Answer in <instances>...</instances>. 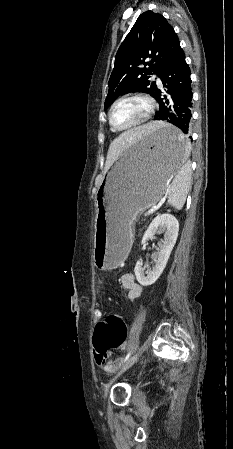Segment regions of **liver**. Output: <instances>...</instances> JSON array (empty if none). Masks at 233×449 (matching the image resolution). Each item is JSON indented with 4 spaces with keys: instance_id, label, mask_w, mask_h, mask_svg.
<instances>
[{
    "instance_id": "6515ba94",
    "label": "liver",
    "mask_w": 233,
    "mask_h": 449,
    "mask_svg": "<svg viewBox=\"0 0 233 449\" xmlns=\"http://www.w3.org/2000/svg\"><path fill=\"white\" fill-rule=\"evenodd\" d=\"M162 124L163 122L161 121H153L145 125L130 129L123 133H119L118 137L114 139V141L110 144L107 153L106 168H110V166L119 158V156L122 155V153L126 151L132 144H134L135 142H140V139L143 135L155 130Z\"/></svg>"
}]
</instances>
